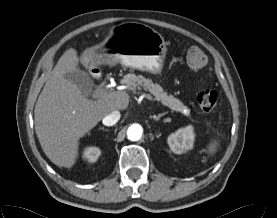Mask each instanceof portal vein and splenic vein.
<instances>
[{
	"label": "portal vein and splenic vein",
	"instance_id": "portal-vein-and-splenic-vein-1",
	"mask_svg": "<svg viewBox=\"0 0 277 218\" xmlns=\"http://www.w3.org/2000/svg\"><path fill=\"white\" fill-rule=\"evenodd\" d=\"M108 90L110 91L111 89L110 88L98 89L92 94V97L94 99H97V98L101 97L104 93H106ZM140 93L142 94L143 97L147 98L148 100L154 101V99L151 95H149L147 93H142V92H140Z\"/></svg>",
	"mask_w": 277,
	"mask_h": 218
}]
</instances>
